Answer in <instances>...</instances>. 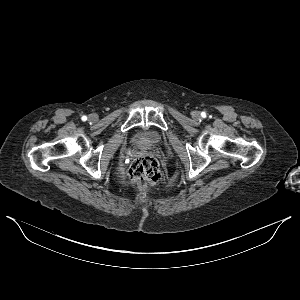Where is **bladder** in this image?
<instances>
[{"label": "bladder", "mask_w": 300, "mask_h": 300, "mask_svg": "<svg viewBox=\"0 0 300 300\" xmlns=\"http://www.w3.org/2000/svg\"><path fill=\"white\" fill-rule=\"evenodd\" d=\"M163 140V134L153 128H143L137 131L133 137L132 142L138 148H151Z\"/></svg>", "instance_id": "1"}]
</instances>
